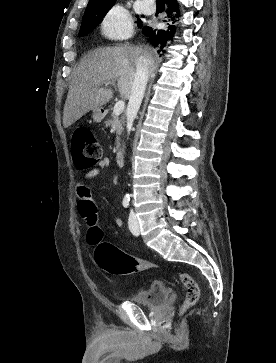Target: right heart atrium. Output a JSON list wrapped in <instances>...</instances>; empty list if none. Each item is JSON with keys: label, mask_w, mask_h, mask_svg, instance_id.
Here are the masks:
<instances>
[{"label": "right heart atrium", "mask_w": 276, "mask_h": 363, "mask_svg": "<svg viewBox=\"0 0 276 363\" xmlns=\"http://www.w3.org/2000/svg\"><path fill=\"white\" fill-rule=\"evenodd\" d=\"M102 32L110 38H124L131 33L132 23L128 12L121 6H114L103 19Z\"/></svg>", "instance_id": "d8ad5b80"}]
</instances>
